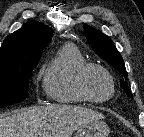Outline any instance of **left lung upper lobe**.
Segmentation results:
<instances>
[{"mask_svg": "<svg viewBox=\"0 0 144 137\" xmlns=\"http://www.w3.org/2000/svg\"><path fill=\"white\" fill-rule=\"evenodd\" d=\"M84 31L86 33V38L89 44L92 46L93 50L102 59L111 64L123 76H127V71L124 65L123 58L114 46L112 40L105 34L95 30L88 25H84ZM121 86L124 88L125 92L129 95V97H133V95L127 89L125 82L122 81Z\"/></svg>", "mask_w": 144, "mask_h": 137, "instance_id": "5c2ea615", "label": "left lung upper lobe"}]
</instances>
